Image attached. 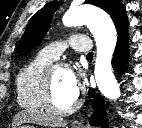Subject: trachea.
I'll return each instance as SVG.
<instances>
[{
  "label": "trachea",
  "mask_w": 142,
  "mask_h": 128,
  "mask_svg": "<svg viewBox=\"0 0 142 128\" xmlns=\"http://www.w3.org/2000/svg\"><path fill=\"white\" fill-rule=\"evenodd\" d=\"M87 58H93V52L88 53Z\"/></svg>",
  "instance_id": "obj_1"
}]
</instances>
